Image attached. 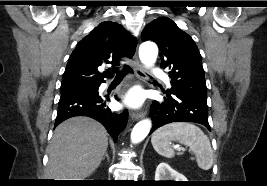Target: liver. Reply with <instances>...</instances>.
Wrapping results in <instances>:
<instances>
[{
    "mask_svg": "<svg viewBox=\"0 0 267 186\" xmlns=\"http://www.w3.org/2000/svg\"><path fill=\"white\" fill-rule=\"evenodd\" d=\"M107 147V131L99 122L70 118L54 131L45 175L54 180H84L99 166Z\"/></svg>",
    "mask_w": 267,
    "mask_h": 186,
    "instance_id": "6515ba94",
    "label": "liver"
}]
</instances>
